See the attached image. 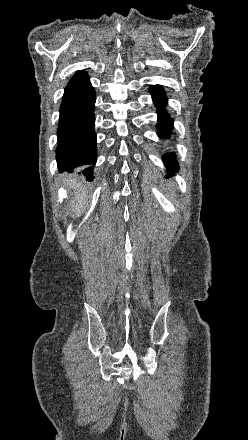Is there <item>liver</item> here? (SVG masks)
<instances>
[{"label":"liver","instance_id":"liver-1","mask_svg":"<svg viewBox=\"0 0 248 440\" xmlns=\"http://www.w3.org/2000/svg\"><path fill=\"white\" fill-rule=\"evenodd\" d=\"M66 185L69 189L74 190V197L72 201V209L71 212L73 214L79 215L83 212L87 206L88 202V193L87 189L81 182H78L76 177H71L67 180Z\"/></svg>","mask_w":248,"mask_h":440}]
</instances>
